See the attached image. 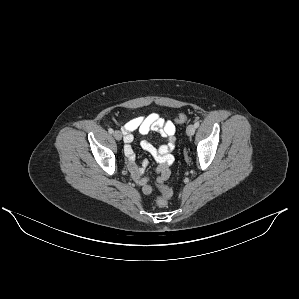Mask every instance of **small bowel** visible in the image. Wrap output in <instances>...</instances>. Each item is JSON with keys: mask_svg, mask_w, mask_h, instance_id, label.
Masks as SVG:
<instances>
[{"mask_svg": "<svg viewBox=\"0 0 299 299\" xmlns=\"http://www.w3.org/2000/svg\"><path fill=\"white\" fill-rule=\"evenodd\" d=\"M122 132L124 134L125 142V155L127 157V166L131 172L137 185L142 187V191L145 194H151L153 192V186L148 177L144 176L145 169L148 166V161L143 160L140 166L136 165L135 153L131 147V143L134 140L133 133L138 132L142 135L149 132L159 133L166 142L155 147L147 140H142L140 143L141 148L150 154L157 166L155 168L157 185H162L170 176V166L174 162L173 150L175 148V132L176 127L173 122L164 119L156 113H151L145 116L135 117L122 125Z\"/></svg>", "mask_w": 299, "mask_h": 299, "instance_id": "obj_1", "label": "small bowel"}]
</instances>
